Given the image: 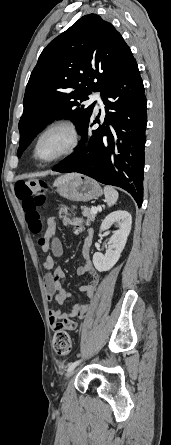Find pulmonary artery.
<instances>
[{
    "instance_id": "1",
    "label": "pulmonary artery",
    "mask_w": 171,
    "mask_h": 445,
    "mask_svg": "<svg viewBox=\"0 0 171 445\" xmlns=\"http://www.w3.org/2000/svg\"><path fill=\"white\" fill-rule=\"evenodd\" d=\"M90 101L91 102H96V107L97 108H102L103 107V102H102L99 94H95L94 96H92Z\"/></svg>"
}]
</instances>
